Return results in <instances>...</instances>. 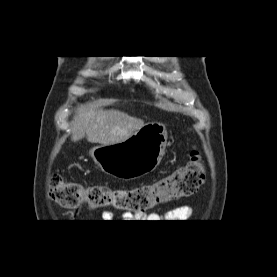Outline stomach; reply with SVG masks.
Listing matches in <instances>:
<instances>
[{
  "label": "stomach",
  "instance_id": "obj_1",
  "mask_svg": "<svg viewBox=\"0 0 277 277\" xmlns=\"http://www.w3.org/2000/svg\"><path fill=\"white\" fill-rule=\"evenodd\" d=\"M167 138L165 125L148 123L127 140L96 146L89 154L106 174L134 179L156 169L165 154Z\"/></svg>",
  "mask_w": 277,
  "mask_h": 277
}]
</instances>
